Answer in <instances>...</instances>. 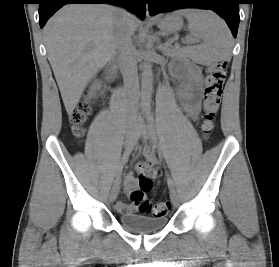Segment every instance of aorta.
<instances>
[{
  "label": "aorta",
  "mask_w": 279,
  "mask_h": 267,
  "mask_svg": "<svg viewBox=\"0 0 279 267\" xmlns=\"http://www.w3.org/2000/svg\"><path fill=\"white\" fill-rule=\"evenodd\" d=\"M153 72L150 58H147L143 64L142 80H141V98L143 107H150V99L152 94Z\"/></svg>",
  "instance_id": "aorta-1"
}]
</instances>
